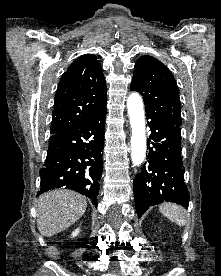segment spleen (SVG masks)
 Listing matches in <instances>:
<instances>
[{
    "mask_svg": "<svg viewBox=\"0 0 221 276\" xmlns=\"http://www.w3.org/2000/svg\"><path fill=\"white\" fill-rule=\"evenodd\" d=\"M160 212L178 226L186 224L184 210L177 204L165 203L159 207Z\"/></svg>",
    "mask_w": 221,
    "mask_h": 276,
    "instance_id": "obj_1",
    "label": "spleen"
}]
</instances>
